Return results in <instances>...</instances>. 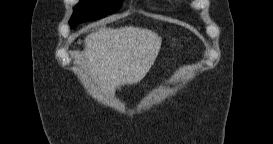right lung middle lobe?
Instances as JSON below:
<instances>
[{
	"mask_svg": "<svg viewBox=\"0 0 273 144\" xmlns=\"http://www.w3.org/2000/svg\"><path fill=\"white\" fill-rule=\"evenodd\" d=\"M121 5L122 0H80L69 23L71 27H75L85 21L103 18L115 13Z\"/></svg>",
	"mask_w": 273,
	"mask_h": 144,
	"instance_id": "dd1d6c3e",
	"label": "right lung middle lobe"
}]
</instances>
